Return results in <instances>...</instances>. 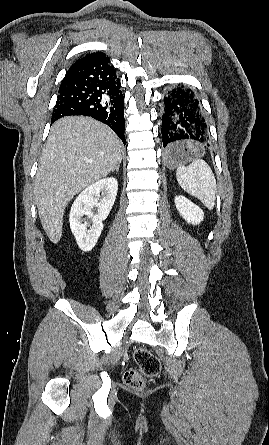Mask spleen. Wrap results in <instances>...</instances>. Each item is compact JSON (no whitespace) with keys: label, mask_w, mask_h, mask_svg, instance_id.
Returning a JSON list of instances; mask_svg holds the SVG:
<instances>
[{"label":"spleen","mask_w":269,"mask_h":445,"mask_svg":"<svg viewBox=\"0 0 269 445\" xmlns=\"http://www.w3.org/2000/svg\"><path fill=\"white\" fill-rule=\"evenodd\" d=\"M192 145L189 144V147ZM177 181L190 195L198 198L209 210L216 200V179L210 166L202 159H192L188 166L180 164L176 171Z\"/></svg>","instance_id":"3e777b00"}]
</instances>
